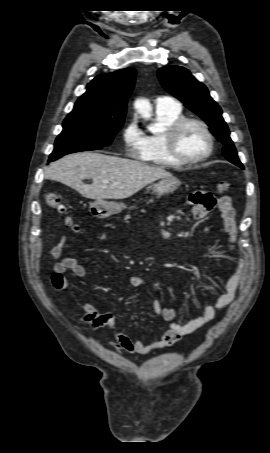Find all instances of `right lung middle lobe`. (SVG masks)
Here are the masks:
<instances>
[{"label": "right lung middle lobe", "mask_w": 270, "mask_h": 453, "mask_svg": "<svg viewBox=\"0 0 270 453\" xmlns=\"http://www.w3.org/2000/svg\"><path fill=\"white\" fill-rule=\"evenodd\" d=\"M123 123L94 115L66 117L63 122V131L55 141L49 161L69 153L97 150L111 144Z\"/></svg>", "instance_id": "1"}]
</instances>
